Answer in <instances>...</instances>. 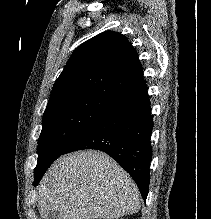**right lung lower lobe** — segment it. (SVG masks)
Returning a JSON list of instances; mask_svg holds the SVG:
<instances>
[{
	"instance_id": "1",
	"label": "right lung lower lobe",
	"mask_w": 211,
	"mask_h": 219,
	"mask_svg": "<svg viewBox=\"0 0 211 219\" xmlns=\"http://www.w3.org/2000/svg\"><path fill=\"white\" fill-rule=\"evenodd\" d=\"M147 93L145 89L117 105L73 141L63 153L82 149L107 153L131 175L144 200L149 191L152 157L150 136L153 128Z\"/></svg>"
}]
</instances>
